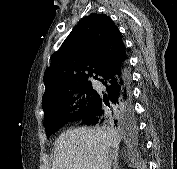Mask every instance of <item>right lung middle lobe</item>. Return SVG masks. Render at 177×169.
Returning a JSON list of instances; mask_svg holds the SVG:
<instances>
[{
  "label": "right lung middle lobe",
  "instance_id": "obj_1",
  "mask_svg": "<svg viewBox=\"0 0 177 169\" xmlns=\"http://www.w3.org/2000/svg\"><path fill=\"white\" fill-rule=\"evenodd\" d=\"M96 91L93 89L91 82L79 86L67 93L60 100L47 104L43 107L45 112L44 126L47 137L58 130L64 124L78 119L85 114L92 106ZM132 118L130 119V121ZM128 121V122H130ZM127 122V123H128ZM127 123H120L119 127Z\"/></svg>",
  "mask_w": 177,
  "mask_h": 169
}]
</instances>
